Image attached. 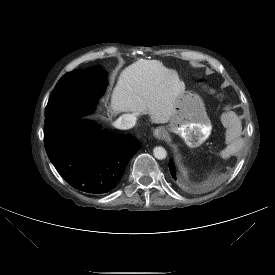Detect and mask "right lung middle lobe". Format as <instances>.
<instances>
[{"instance_id": "obj_1", "label": "right lung middle lobe", "mask_w": 275, "mask_h": 275, "mask_svg": "<svg viewBox=\"0 0 275 275\" xmlns=\"http://www.w3.org/2000/svg\"><path fill=\"white\" fill-rule=\"evenodd\" d=\"M104 78L105 72L100 67L65 74L56 84L46 106L45 125L89 113L103 93L100 81Z\"/></svg>"}]
</instances>
